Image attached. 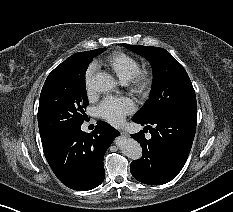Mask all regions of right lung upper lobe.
Wrapping results in <instances>:
<instances>
[{
  "label": "right lung upper lobe",
  "instance_id": "obj_1",
  "mask_svg": "<svg viewBox=\"0 0 233 212\" xmlns=\"http://www.w3.org/2000/svg\"><path fill=\"white\" fill-rule=\"evenodd\" d=\"M89 54H90V51L76 53V54L68 57L63 63L58 65L55 68V70L60 69V68L65 67V66H68L76 60H84L89 56Z\"/></svg>",
  "mask_w": 233,
  "mask_h": 212
}]
</instances>
